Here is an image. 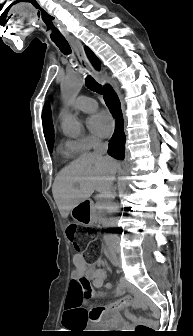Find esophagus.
Here are the masks:
<instances>
[{"label": "esophagus", "mask_w": 193, "mask_h": 336, "mask_svg": "<svg viewBox=\"0 0 193 336\" xmlns=\"http://www.w3.org/2000/svg\"><path fill=\"white\" fill-rule=\"evenodd\" d=\"M71 45L73 46L74 51L76 52V55L79 59V62L81 64V67L86 70L92 77H94L97 81H99L102 85L105 84V81L100 79V72L97 71L92 63L89 61L84 47L80 40L78 39H72L71 40Z\"/></svg>", "instance_id": "obj_1"}]
</instances>
